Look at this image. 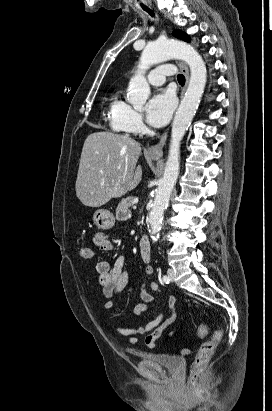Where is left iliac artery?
Instances as JSON below:
<instances>
[{
  "mask_svg": "<svg viewBox=\"0 0 272 411\" xmlns=\"http://www.w3.org/2000/svg\"><path fill=\"white\" fill-rule=\"evenodd\" d=\"M162 280H163V282H164V283H166V284H168V283L170 282L169 277H168V276H166V275H165V276H163V279H162Z\"/></svg>",
  "mask_w": 272,
  "mask_h": 411,
  "instance_id": "obj_1",
  "label": "left iliac artery"
}]
</instances>
